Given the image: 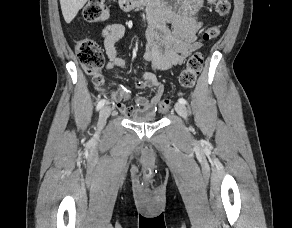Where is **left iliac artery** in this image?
Wrapping results in <instances>:
<instances>
[{"instance_id": "1", "label": "left iliac artery", "mask_w": 292, "mask_h": 228, "mask_svg": "<svg viewBox=\"0 0 292 228\" xmlns=\"http://www.w3.org/2000/svg\"><path fill=\"white\" fill-rule=\"evenodd\" d=\"M178 102L181 103V104H186L187 103V101L184 98H179Z\"/></svg>"}]
</instances>
